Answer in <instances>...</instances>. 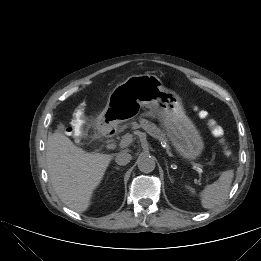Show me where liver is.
Returning a JSON list of instances; mask_svg holds the SVG:
<instances>
[{"instance_id": "1", "label": "liver", "mask_w": 261, "mask_h": 261, "mask_svg": "<svg viewBox=\"0 0 261 261\" xmlns=\"http://www.w3.org/2000/svg\"><path fill=\"white\" fill-rule=\"evenodd\" d=\"M112 155L89 153L61 133H51L46 144L47 171L61 201L77 212L86 211Z\"/></svg>"}]
</instances>
